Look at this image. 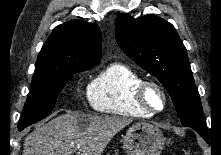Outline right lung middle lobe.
<instances>
[{"label":"right lung middle lobe","mask_w":221,"mask_h":155,"mask_svg":"<svg viewBox=\"0 0 221 155\" xmlns=\"http://www.w3.org/2000/svg\"><path fill=\"white\" fill-rule=\"evenodd\" d=\"M93 66L95 65L35 67L31 91L27 97L23 115L18 124L19 131L49 116L58 94L72 78L73 74L85 71Z\"/></svg>","instance_id":"right-lung-middle-lobe-1"}]
</instances>
